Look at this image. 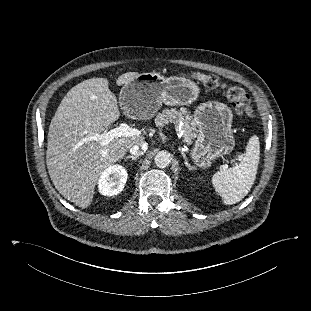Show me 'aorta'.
I'll list each match as a JSON object with an SVG mask.
<instances>
[{
  "label": "aorta",
  "mask_w": 311,
  "mask_h": 311,
  "mask_svg": "<svg viewBox=\"0 0 311 311\" xmlns=\"http://www.w3.org/2000/svg\"><path fill=\"white\" fill-rule=\"evenodd\" d=\"M154 161L157 167L165 168L171 163V155L169 152L162 150L156 154Z\"/></svg>",
  "instance_id": "aorta-1"
}]
</instances>
